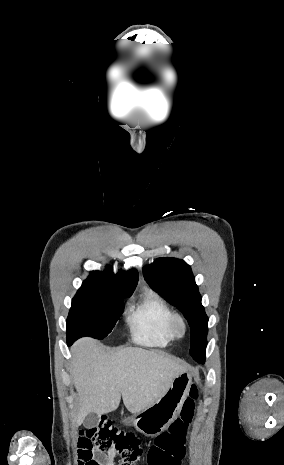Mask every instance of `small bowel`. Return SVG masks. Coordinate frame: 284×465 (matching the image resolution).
I'll return each instance as SVG.
<instances>
[{"label": "small bowel", "instance_id": "small-bowel-1", "mask_svg": "<svg viewBox=\"0 0 284 465\" xmlns=\"http://www.w3.org/2000/svg\"><path fill=\"white\" fill-rule=\"evenodd\" d=\"M113 455H109L107 456L106 460L104 462H101V465H114V462H113Z\"/></svg>", "mask_w": 284, "mask_h": 465}]
</instances>
